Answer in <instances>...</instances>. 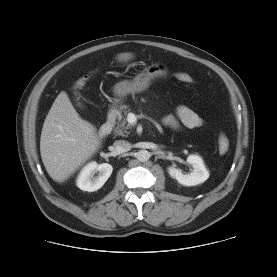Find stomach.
<instances>
[{"mask_svg":"<svg viewBox=\"0 0 277 277\" xmlns=\"http://www.w3.org/2000/svg\"><path fill=\"white\" fill-rule=\"evenodd\" d=\"M168 69L165 65L155 64L145 68L132 81H121L114 87V93L118 97L116 108L122 109V100L131 93H138L145 90L152 80L167 75Z\"/></svg>","mask_w":277,"mask_h":277,"instance_id":"stomach-1","label":"stomach"}]
</instances>
